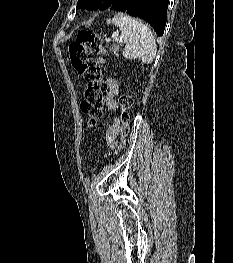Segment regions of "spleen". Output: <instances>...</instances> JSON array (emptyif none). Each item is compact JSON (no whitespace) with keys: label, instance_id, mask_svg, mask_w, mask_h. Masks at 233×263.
<instances>
[{"label":"spleen","instance_id":"obj_1","mask_svg":"<svg viewBox=\"0 0 233 263\" xmlns=\"http://www.w3.org/2000/svg\"><path fill=\"white\" fill-rule=\"evenodd\" d=\"M106 23L119 27L126 43L123 50L125 59H139L144 64L153 62L157 45L152 31L142 21L119 12L112 19H107Z\"/></svg>","mask_w":233,"mask_h":263}]
</instances>
